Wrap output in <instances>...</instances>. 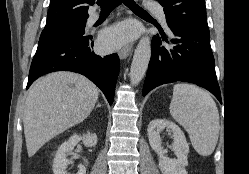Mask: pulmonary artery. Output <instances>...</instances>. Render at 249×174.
Listing matches in <instances>:
<instances>
[{
  "instance_id": "e3ab8cb5",
  "label": "pulmonary artery",
  "mask_w": 249,
  "mask_h": 174,
  "mask_svg": "<svg viewBox=\"0 0 249 174\" xmlns=\"http://www.w3.org/2000/svg\"><path fill=\"white\" fill-rule=\"evenodd\" d=\"M146 8L149 12L155 14L158 19L161 21V23L167 27V20H166V15L163 10V8L157 4L156 2L153 1H147L146 2ZM99 15L97 13L91 14L88 18V23H94L98 20Z\"/></svg>"
}]
</instances>
